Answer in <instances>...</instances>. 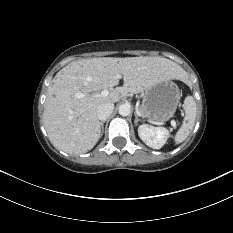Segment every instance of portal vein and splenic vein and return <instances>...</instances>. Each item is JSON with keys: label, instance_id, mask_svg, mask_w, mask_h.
Wrapping results in <instances>:
<instances>
[{"label": "portal vein and splenic vein", "instance_id": "1", "mask_svg": "<svg viewBox=\"0 0 233 233\" xmlns=\"http://www.w3.org/2000/svg\"><path fill=\"white\" fill-rule=\"evenodd\" d=\"M119 78H121L122 76L119 74V75H117ZM109 95V90H107V89H104V90H102L101 91V93L99 94V96H101V97H106V96H108ZM75 97L76 98H82L83 97V94L82 93H76L75 94ZM171 125L173 126V127H175L176 126V122L174 121V120H171Z\"/></svg>", "mask_w": 233, "mask_h": 233}]
</instances>
